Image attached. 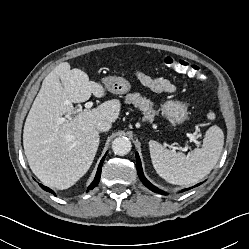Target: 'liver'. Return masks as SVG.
<instances>
[{
	"label": "liver",
	"instance_id": "6515ba94",
	"mask_svg": "<svg viewBox=\"0 0 249 249\" xmlns=\"http://www.w3.org/2000/svg\"><path fill=\"white\" fill-rule=\"evenodd\" d=\"M92 94L101 98L105 90L67 62L57 65L43 80L25 121L23 146L32 172L44 185L60 190L74 185L97 153L100 136L96 124L118 118L120 103L110 100L58 122L73 111L72 103L85 102Z\"/></svg>",
	"mask_w": 249,
	"mask_h": 249
}]
</instances>
